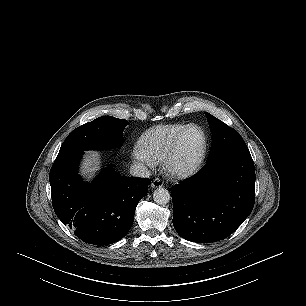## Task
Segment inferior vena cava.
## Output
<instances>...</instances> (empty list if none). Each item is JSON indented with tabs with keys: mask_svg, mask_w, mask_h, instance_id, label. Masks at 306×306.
Masks as SVG:
<instances>
[{
	"mask_svg": "<svg viewBox=\"0 0 306 306\" xmlns=\"http://www.w3.org/2000/svg\"><path fill=\"white\" fill-rule=\"evenodd\" d=\"M130 174L134 177L148 178L150 170L141 163H133L130 167Z\"/></svg>",
	"mask_w": 306,
	"mask_h": 306,
	"instance_id": "obj_1",
	"label": "inferior vena cava"
}]
</instances>
